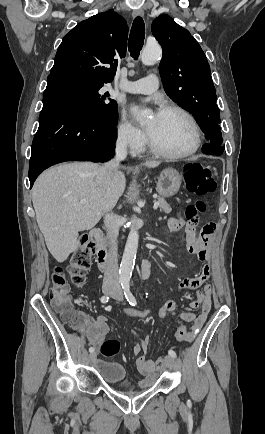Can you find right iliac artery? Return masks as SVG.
<instances>
[{
	"mask_svg": "<svg viewBox=\"0 0 265 434\" xmlns=\"http://www.w3.org/2000/svg\"><path fill=\"white\" fill-rule=\"evenodd\" d=\"M100 300H101L102 303H107V302L109 301V296L104 295V296L101 297ZM89 352H90V353H93V352H94V348H93V347H90V348H89Z\"/></svg>",
	"mask_w": 265,
	"mask_h": 434,
	"instance_id": "obj_1",
	"label": "right iliac artery"
}]
</instances>
